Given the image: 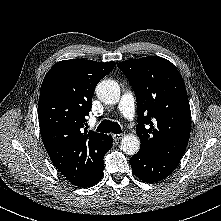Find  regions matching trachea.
<instances>
[{
	"label": "trachea",
	"instance_id": "1",
	"mask_svg": "<svg viewBox=\"0 0 221 221\" xmlns=\"http://www.w3.org/2000/svg\"><path fill=\"white\" fill-rule=\"evenodd\" d=\"M97 131L102 133L112 132L114 134H120L122 132L120 125L110 120H103L97 127Z\"/></svg>",
	"mask_w": 221,
	"mask_h": 221
}]
</instances>
